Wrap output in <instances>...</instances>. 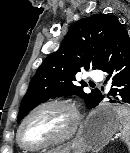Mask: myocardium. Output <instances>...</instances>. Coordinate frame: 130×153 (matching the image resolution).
Returning a JSON list of instances; mask_svg holds the SVG:
<instances>
[{"label": "myocardium", "instance_id": "1", "mask_svg": "<svg viewBox=\"0 0 130 153\" xmlns=\"http://www.w3.org/2000/svg\"><path fill=\"white\" fill-rule=\"evenodd\" d=\"M49 106H62L70 111V113L72 115V123H71L69 129L61 137L52 139L50 141H46V142L39 143V144L25 143L22 140V130H23L26 122L37 111H39L42 108L49 107ZM81 119H82V116H81V113H80L78 106L76 105L75 102H73L71 100L58 98V99H51V100L44 101V102L36 105L33 109H31L25 115V117L22 119V121L19 125V128H18V131H17V141L22 148L27 149V150H40V149H44V148H47L50 146L65 143V142L69 141L76 134V132L81 124Z\"/></svg>", "mask_w": 130, "mask_h": 153}]
</instances>
